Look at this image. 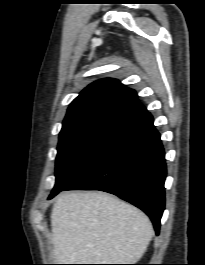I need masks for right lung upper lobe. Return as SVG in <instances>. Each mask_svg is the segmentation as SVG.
I'll list each match as a JSON object with an SVG mask.
<instances>
[{
  "label": "right lung upper lobe",
  "instance_id": "cb5924a9",
  "mask_svg": "<svg viewBox=\"0 0 205 265\" xmlns=\"http://www.w3.org/2000/svg\"><path fill=\"white\" fill-rule=\"evenodd\" d=\"M146 112L134 90L116 79H100L72 101L60 134L97 124L127 126Z\"/></svg>",
  "mask_w": 205,
  "mask_h": 265
}]
</instances>
